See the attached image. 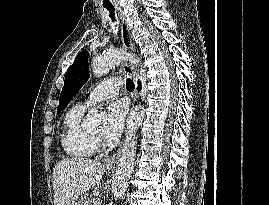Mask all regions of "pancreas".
Returning a JSON list of instances; mask_svg holds the SVG:
<instances>
[{"instance_id":"cf45deb5","label":"pancreas","mask_w":269,"mask_h":205,"mask_svg":"<svg viewBox=\"0 0 269 205\" xmlns=\"http://www.w3.org/2000/svg\"><path fill=\"white\" fill-rule=\"evenodd\" d=\"M92 202V205H100V199L98 197L94 196Z\"/></svg>"}]
</instances>
